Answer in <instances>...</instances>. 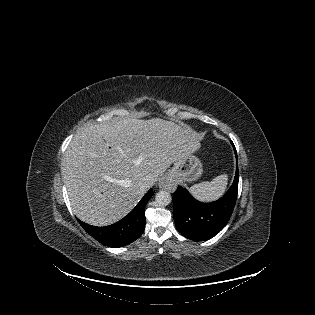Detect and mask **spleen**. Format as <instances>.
I'll list each match as a JSON object with an SVG mask.
<instances>
[{"mask_svg": "<svg viewBox=\"0 0 315 315\" xmlns=\"http://www.w3.org/2000/svg\"><path fill=\"white\" fill-rule=\"evenodd\" d=\"M228 183L227 174L215 177L211 182L205 181L190 187V193L199 201L210 202L223 196Z\"/></svg>", "mask_w": 315, "mask_h": 315, "instance_id": "spleen-1", "label": "spleen"}]
</instances>
